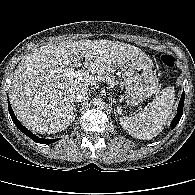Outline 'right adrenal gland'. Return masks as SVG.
<instances>
[{
	"label": "right adrenal gland",
	"instance_id": "right-adrenal-gland-1",
	"mask_svg": "<svg viewBox=\"0 0 195 195\" xmlns=\"http://www.w3.org/2000/svg\"><path fill=\"white\" fill-rule=\"evenodd\" d=\"M79 106H80V104L74 105V118L73 119H75L77 107H79Z\"/></svg>",
	"mask_w": 195,
	"mask_h": 195
}]
</instances>
